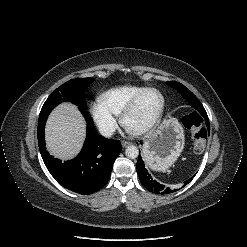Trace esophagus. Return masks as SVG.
<instances>
[{
	"mask_svg": "<svg viewBox=\"0 0 247 247\" xmlns=\"http://www.w3.org/2000/svg\"><path fill=\"white\" fill-rule=\"evenodd\" d=\"M128 145H130V142H128V141H122V146L123 147H127Z\"/></svg>",
	"mask_w": 247,
	"mask_h": 247,
	"instance_id": "34e87169",
	"label": "esophagus"
}]
</instances>
